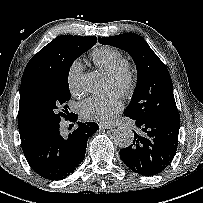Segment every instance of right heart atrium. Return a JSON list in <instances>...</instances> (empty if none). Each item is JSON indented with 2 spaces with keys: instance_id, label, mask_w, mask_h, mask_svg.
Here are the masks:
<instances>
[{
  "instance_id": "right-heart-atrium-1",
  "label": "right heart atrium",
  "mask_w": 203,
  "mask_h": 203,
  "mask_svg": "<svg viewBox=\"0 0 203 203\" xmlns=\"http://www.w3.org/2000/svg\"><path fill=\"white\" fill-rule=\"evenodd\" d=\"M83 74V65L80 61L75 60L69 66L67 72V84L70 92L74 95L81 91V80Z\"/></svg>"
}]
</instances>
